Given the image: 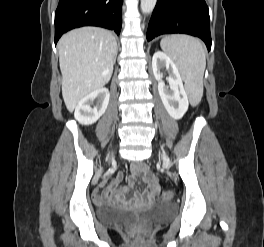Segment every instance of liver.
Segmentation results:
<instances>
[{"label":"liver","mask_w":264,"mask_h":247,"mask_svg":"<svg viewBox=\"0 0 264 247\" xmlns=\"http://www.w3.org/2000/svg\"><path fill=\"white\" fill-rule=\"evenodd\" d=\"M58 51L62 96L72 112L81 99L110 81L117 42L105 29L83 27L64 34Z\"/></svg>","instance_id":"1"}]
</instances>
